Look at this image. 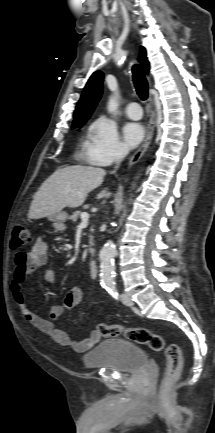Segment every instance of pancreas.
I'll return each instance as SVG.
<instances>
[{
	"label": "pancreas",
	"mask_w": 215,
	"mask_h": 433,
	"mask_svg": "<svg viewBox=\"0 0 215 433\" xmlns=\"http://www.w3.org/2000/svg\"><path fill=\"white\" fill-rule=\"evenodd\" d=\"M81 215H82V212H80V211H76V212H74V213L69 217V219H70L71 221H73V222H76L77 219H78ZM90 239H91L90 245H92V244H93V242H92V237H90ZM90 252L93 254V253H94L93 249H90Z\"/></svg>",
	"instance_id": "1"
}]
</instances>
